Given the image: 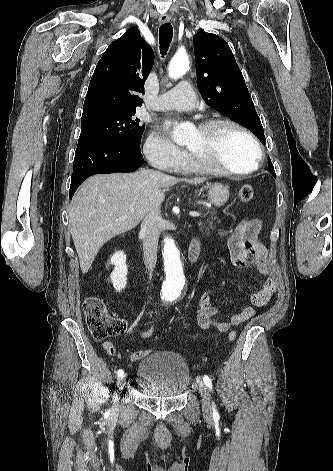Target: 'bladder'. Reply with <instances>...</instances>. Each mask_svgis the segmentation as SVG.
Instances as JSON below:
<instances>
[{
  "label": "bladder",
  "mask_w": 333,
  "mask_h": 471,
  "mask_svg": "<svg viewBox=\"0 0 333 471\" xmlns=\"http://www.w3.org/2000/svg\"><path fill=\"white\" fill-rule=\"evenodd\" d=\"M147 393L157 398H176L189 387L191 375L186 360L173 351H157L143 358L136 372Z\"/></svg>",
  "instance_id": "obj_1"
}]
</instances>
